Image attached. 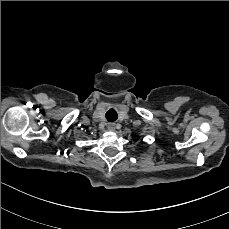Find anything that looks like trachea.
<instances>
[{"instance_id": "trachea-1", "label": "trachea", "mask_w": 229, "mask_h": 229, "mask_svg": "<svg viewBox=\"0 0 229 229\" xmlns=\"http://www.w3.org/2000/svg\"><path fill=\"white\" fill-rule=\"evenodd\" d=\"M118 118L117 112L115 111L114 108H111L107 111L106 113V119L109 122H114Z\"/></svg>"}]
</instances>
